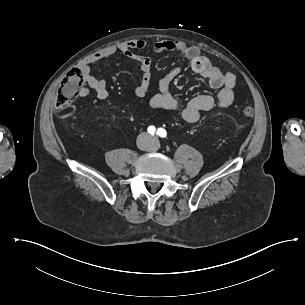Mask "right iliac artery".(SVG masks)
<instances>
[{
	"mask_svg": "<svg viewBox=\"0 0 305 305\" xmlns=\"http://www.w3.org/2000/svg\"><path fill=\"white\" fill-rule=\"evenodd\" d=\"M156 132V128L154 126H149L148 127V133L151 135H154Z\"/></svg>",
	"mask_w": 305,
	"mask_h": 305,
	"instance_id": "1",
	"label": "right iliac artery"
}]
</instances>
